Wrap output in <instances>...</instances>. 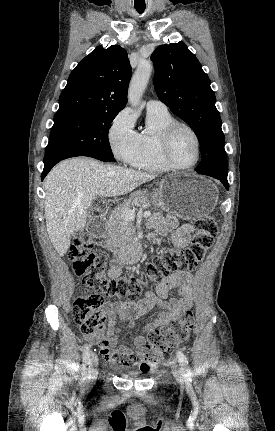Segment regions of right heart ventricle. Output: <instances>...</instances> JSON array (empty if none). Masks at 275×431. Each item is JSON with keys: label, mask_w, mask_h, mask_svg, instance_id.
Segmentation results:
<instances>
[{"label": "right heart ventricle", "mask_w": 275, "mask_h": 431, "mask_svg": "<svg viewBox=\"0 0 275 431\" xmlns=\"http://www.w3.org/2000/svg\"><path fill=\"white\" fill-rule=\"evenodd\" d=\"M175 119L168 111H148L146 128L139 134L140 149L134 162L133 167L149 172H166L171 168L162 159L160 154V137L162 132Z\"/></svg>", "instance_id": "right-heart-ventricle-1"}]
</instances>
